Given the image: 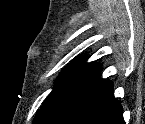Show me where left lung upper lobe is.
Masks as SVG:
<instances>
[{
  "instance_id": "obj_1",
  "label": "left lung upper lobe",
  "mask_w": 145,
  "mask_h": 124,
  "mask_svg": "<svg viewBox=\"0 0 145 124\" xmlns=\"http://www.w3.org/2000/svg\"><path fill=\"white\" fill-rule=\"evenodd\" d=\"M81 58L71 63L56 81L52 94L37 112L33 124H45L55 116L100 71L101 67Z\"/></svg>"
}]
</instances>
